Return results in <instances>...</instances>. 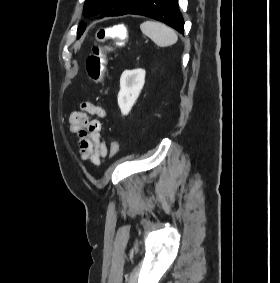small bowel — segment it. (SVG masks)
Returning a JSON list of instances; mask_svg holds the SVG:
<instances>
[{
	"instance_id": "obj_1",
	"label": "small bowel",
	"mask_w": 280,
	"mask_h": 283,
	"mask_svg": "<svg viewBox=\"0 0 280 283\" xmlns=\"http://www.w3.org/2000/svg\"><path fill=\"white\" fill-rule=\"evenodd\" d=\"M92 115L104 118L105 110L93 103L84 102L79 110L71 113L69 125L71 132L75 135L80 159L90 161L93 165H99L102 158L112 154L113 146L116 141L110 144L101 138V122L92 119Z\"/></svg>"
}]
</instances>
